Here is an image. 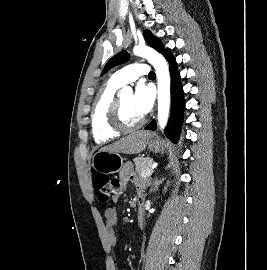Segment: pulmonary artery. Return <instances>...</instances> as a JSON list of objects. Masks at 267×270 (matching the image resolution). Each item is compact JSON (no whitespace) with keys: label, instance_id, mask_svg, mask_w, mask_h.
Instances as JSON below:
<instances>
[{"label":"pulmonary artery","instance_id":"obj_1","mask_svg":"<svg viewBox=\"0 0 267 270\" xmlns=\"http://www.w3.org/2000/svg\"><path fill=\"white\" fill-rule=\"evenodd\" d=\"M149 72L150 68L147 64L135 63L116 71L111 78L116 83L120 85H125L135 81L142 75L149 74Z\"/></svg>","mask_w":267,"mask_h":270}]
</instances>
